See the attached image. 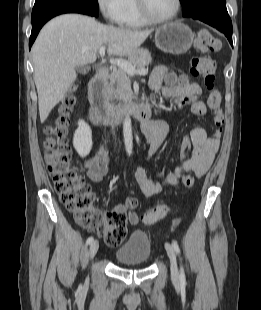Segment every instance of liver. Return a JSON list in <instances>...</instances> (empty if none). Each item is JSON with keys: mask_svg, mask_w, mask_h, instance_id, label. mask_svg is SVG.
I'll list each match as a JSON object with an SVG mask.
<instances>
[{"mask_svg": "<svg viewBox=\"0 0 261 310\" xmlns=\"http://www.w3.org/2000/svg\"><path fill=\"white\" fill-rule=\"evenodd\" d=\"M151 32L103 25L80 14H64L49 21L32 48L41 122L75 82L77 65L94 63L103 45L109 55H129Z\"/></svg>", "mask_w": 261, "mask_h": 310, "instance_id": "liver-1", "label": "liver"}]
</instances>
